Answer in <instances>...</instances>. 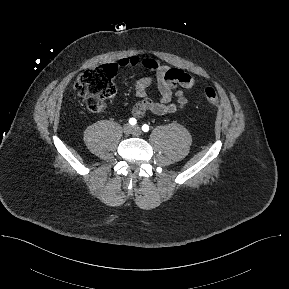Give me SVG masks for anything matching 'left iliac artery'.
I'll use <instances>...</instances> for the list:
<instances>
[{"mask_svg": "<svg viewBox=\"0 0 289 289\" xmlns=\"http://www.w3.org/2000/svg\"><path fill=\"white\" fill-rule=\"evenodd\" d=\"M142 131L148 132V131H149V126H148L147 124H144V125L142 126Z\"/></svg>", "mask_w": 289, "mask_h": 289, "instance_id": "obj_1", "label": "left iliac artery"}]
</instances>
